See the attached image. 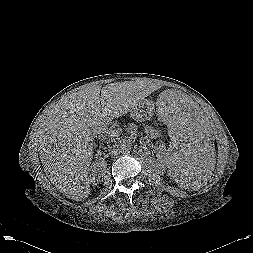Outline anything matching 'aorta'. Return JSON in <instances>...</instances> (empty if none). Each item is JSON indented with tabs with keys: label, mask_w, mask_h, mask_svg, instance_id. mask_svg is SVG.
Listing matches in <instances>:
<instances>
[{
	"label": "aorta",
	"mask_w": 253,
	"mask_h": 253,
	"mask_svg": "<svg viewBox=\"0 0 253 253\" xmlns=\"http://www.w3.org/2000/svg\"><path fill=\"white\" fill-rule=\"evenodd\" d=\"M118 149L121 154H128L131 152V144L127 141L118 142Z\"/></svg>",
	"instance_id": "1"
}]
</instances>
